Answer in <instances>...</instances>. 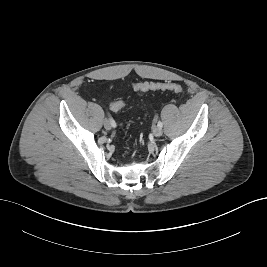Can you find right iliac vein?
I'll use <instances>...</instances> for the list:
<instances>
[{"instance_id": "63e3f726", "label": "right iliac vein", "mask_w": 267, "mask_h": 267, "mask_svg": "<svg viewBox=\"0 0 267 267\" xmlns=\"http://www.w3.org/2000/svg\"><path fill=\"white\" fill-rule=\"evenodd\" d=\"M104 127L107 130H110L111 129V124H110V121L108 119H105L104 120Z\"/></svg>"}]
</instances>
